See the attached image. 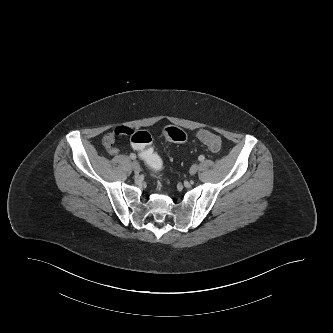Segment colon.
I'll list each match as a JSON object with an SVG mask.
<instances>
[{"label":"colon","mask_w":333,"mask_h":333,"mask_svg":"<svg viewBox=\"0 0 333 333\" xmlns=\"http://www.w3.org/2000/svg\"><path fill=\"white\" fill-rule=\"evenodd\" d=\"M136 137L130 140V146L135 150L137 158L141 159L143 166L151 175H159L163 171V160L160 154L150 145L152 137L147 131H135ZM164 136L169 141L175 143H184L187 139L186 133L177 127H167L164 130ZM199 140L211 151L217 152L221 148V139L215 133L208 130H201L198 133Z\"/></svg>","instance_id":"1"}]
</instances>
